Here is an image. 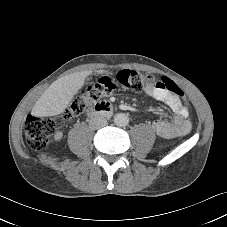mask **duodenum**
Masks as SVG:
<instances>
[{
    "instance_id": "410a0bca",
    "label": "duodenum",
    "mask_w": 227,
    "mask_h": 227,
    "mask_svg": "<svg viewBox=\"0 0 227 227\" xmlns=\"http://www.w3.org/2000/svg\"><path fill=\"white\" fill-rule=\"evenodd\" d=\"M113 113V107L108 102H99L92 106L87 114L90 117L94 116H110Z\"/></svg>"
}]
</instances>
